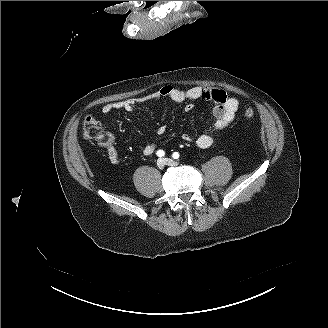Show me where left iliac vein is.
<instances>
[{
	"mask_svg": "<svg viewBox=\"0 0 328 328\" xmlns=\"http://www.w3.org/2000/svg\"><path fill=\"white\" fill-rule=\"evenodd\" d=\"M163 160H164L165 164H167L169 166H176V165H178V162L177 161H174V160H172L170 158H164Z\"/></svg>",
	"mask_w": 328,
	"mask_h": 328,
	"instance_id": "obj_1",
	"label": "left iliac vein"
}]
</instances>
